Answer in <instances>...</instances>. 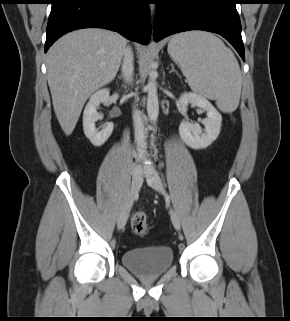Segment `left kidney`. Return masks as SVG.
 Here are the masks:
<instances>
[{
  "label": "left kidney",
  "mask_w": 290,
  "mask_h": 321,
  "mask_svg": "<svg viewBox=\"0 0 290 321\" xmlns=\"http://www.w3.org/2000/svg\"><path fill=\"white\" fill-rule=\"evenodd\" d=\"M179 104L187 107L192 104L200 107L207 113V118L203 119L205 126L203 132L198 124H191L183 120L179 126L181 139L187 146L193 149H204L215 141L220 133L222 116L215 107L203 96L196 93H184L179 98Z\"/></svg>",
  "instance_id": "left-kidney-1"
}]
</instances>
